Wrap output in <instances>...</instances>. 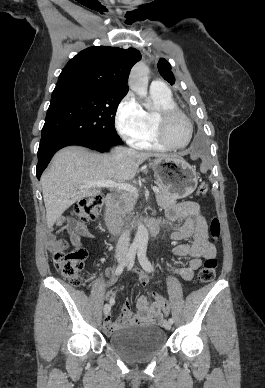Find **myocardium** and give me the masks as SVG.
<instances>
[{"mask_svg":"<svg viewBox=\"0 0 265 388\" xmlns=\"http://www.w3.org/2000/svg\"><path fill=\"white\" fill-rule=\"evenodd\" d=\"M149 91H167V90H155L153 88V86H150ZM173 113H177L183 118L185 125H186V130H187L186 141L183 144L177 145V146L172 145L167 141V139L164 135V131H163V125H164L165 118ZM154 128H155V134H156L158 141L162 145H164L168 148H172V149H182V148L186 147L188 145V143L190 142V140L192 138V133H193V127H192V123H191L190 118L182 110H180L176 106H162V107L157 108L155 111V114H154Z\"/></svg>","mask_w":265,"mask_h":388,"instance_id":"f54148a6","label":"myocardium"}]
</instances>
